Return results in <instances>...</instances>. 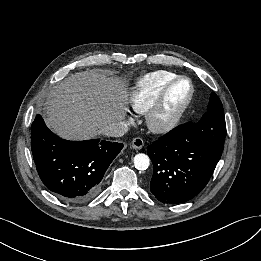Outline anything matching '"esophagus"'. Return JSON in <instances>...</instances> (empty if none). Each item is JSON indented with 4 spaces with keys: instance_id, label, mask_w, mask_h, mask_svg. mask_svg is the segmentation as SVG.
<instances>
[{
    "instance_id": "34e87169",
    "label": "esophagus",
    "mask_w": 261,
    "mask_h": 261,
    "mask_svg": "<svg viewBox=\"0 0 261 261\" xmlns=\"http://www.w3.org/2000/svg\"><path fill=\"white\" fill-rule=\"evenodd\" d=\"M133 149H141L144 146V141L140 137H136L131 142Z\"/></svg>"
}]
</instances>
